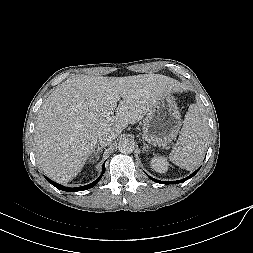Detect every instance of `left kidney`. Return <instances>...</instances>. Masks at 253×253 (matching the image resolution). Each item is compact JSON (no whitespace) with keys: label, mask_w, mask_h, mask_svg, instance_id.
<instances>
[{"label":"left kidney","mask_w":253,"mask_h":253,"mask_svg":"<svg viewBox=\"0 0 253 253\" xmlns=\"http://www.w3.org/2000/svg\"><path fill=\"white\" fill-rule=\"evenodd\" d=\"M150 164L151 168L159 173H165L169 166L167 159L162 156L153 157Z\"/></svg>","instance_id":"obj_1"}]
</instances>
